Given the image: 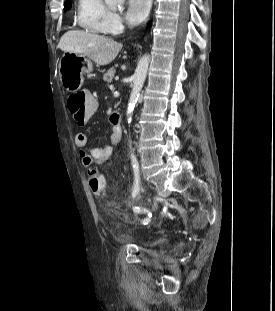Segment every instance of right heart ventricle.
Instances as JSON below:
<instances>
[{
  "label": "right heart ventricle",
  "mask_w": 275,
  "mask_h": 311,
  "mask_svg": "<svg viewBox=\"0 0 275 311\" xmlns=\"http://www.w3.org/2000/svg\"><path fill=\"white\" fill-rule=\"evenodd\" d=\"M111 13L105 0H78L75 21L80 29L88 33L106 35L109 33L108 19Z\"/></svg>",
  "instance_id": "e07e8e85"
}]
</instances>
